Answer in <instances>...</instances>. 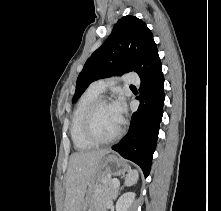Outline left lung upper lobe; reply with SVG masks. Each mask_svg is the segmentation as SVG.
<instances>
[{
  "label": "left lung upper lobe",
  "instance_id": "5c2ea615",
  "mask_svg": "<svg viewBox=\"0 0 221 211\" xmlns=\"http://www.w3.org/2000/svg\"><path fill=\"white\" fill-rule=\"evenodd\" d=\"M157 52L153 34L146 24L135 16H124L105 43L86 61L77 78L72 102L95 80L131 71L139 75Z\"/></svg>",
  "mask_w": 221,
  "mask_h": 211
}]
</instances>
